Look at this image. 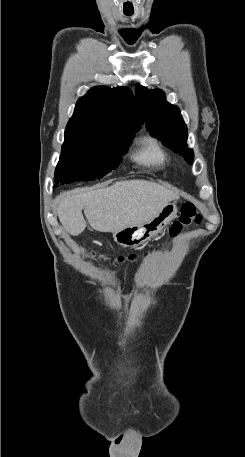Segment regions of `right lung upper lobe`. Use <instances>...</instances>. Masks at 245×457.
<instances>
[{
    "label": "right lung upper lobe",
    "mask_w": 245,
    "mask_h": 457,
    "mask_svg": "<svg viewBox=\"0 0 245 457\" xmlns=\"http://www.w3.org/2000/svg\"><path fill=\"white\" fill-rule=\"evenodd\" d=\"M69 121L128 125L139 128L143 121L132 92L126 87L97 86L81 97Z\"/></svg>",
    "instance_id": "obj_1"
}]
</instances>
